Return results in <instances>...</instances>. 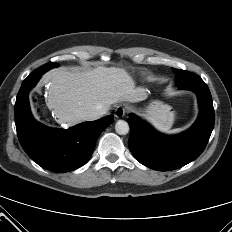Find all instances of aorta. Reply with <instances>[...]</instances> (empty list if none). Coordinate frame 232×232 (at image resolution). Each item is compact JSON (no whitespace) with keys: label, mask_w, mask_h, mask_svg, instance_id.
Masks as SVG:
<instances>
[{"label":"aorta","mask_w":232,"mask_h":232,"mask_svg":"<svg viewBox=\"0 0 232 232\" xmlns=\"http://www.w3.org/2000/svg\"><path fill=\"white\" fill-rule=\"evenodd\" d=\"M115 130L119 135H126L129 132V125L124 120H118L115 124Z\"/></svg>","instance_id":"762f6f07"}]
</instances>
